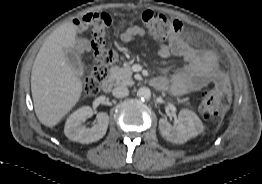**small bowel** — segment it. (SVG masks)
I'll list each match as a JSON object with an SVG mask.
<instances>
[{
  "mask_svg": "<svg viewBox=\"0 0 262 184\" xmlns=\"http://www.w3.org/2000/svg\"><path fill=\"white\" fill-rule=\"evenodd\" d=\"M73 24L78 31L82 30L80 20L75 19ZM145 35L146 31L142 27L132 26L120 34V39L127 43ZM89 48L88 40L81 39L77 42L79 51H87ZM158 54L162 58L177 56L185 62L184 67L175 73L170 80L166 77L154 79L158 81L160 89H169L175 96H184L198 91L211 84L214 77L221 73L218 68L217 56L213 51L196 49L180 37L159 44Z\"/></svg>",
  "mask_w": 262,
  "mask_h": 184,
  "instance_id": "1",
  "label": "small bowel"
}]
</instances>
